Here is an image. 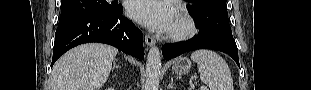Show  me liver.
<instances>
[{
    "mask_svg": "<svg viewBox=\"0 0 311 90\" xmlns=\"http://www.w3.org/2000/svg\"><path fill=\"white\" fill-rule=\"evenodd\" d=\"M118 49L100 43L77 46L54 65L51 90H98L107 81Z\"/></svg>",
    "mask_w": 311,
    "mask_h": 90,
    "instance_id": "6515ba94",
    "label": "liver"
}]
</instances>
